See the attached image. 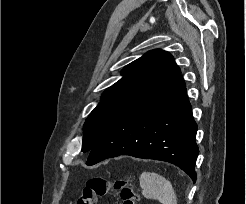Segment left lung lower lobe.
<instances>
[{
	"label": "left lung lower lobe",
	"instance_id": "left-lung-lower-lobe-1",
	"mask_svg": "<svg viewBox=\"0 0 246 204\" xmlns=\"http://www.w3.org/2000/svg\"><path fill=\"white\" fill-rule=\"evenodd\" d=\"M197 125L181 75L116 121L90 150L87 165L120 155L166 161L196 181Z\"/></svg>",
	"mask_w": 246,
	"mask_h": 204
}]
</instances>
